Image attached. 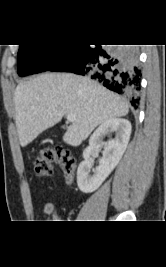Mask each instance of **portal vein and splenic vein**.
<instances>
[{"mask_svg":"<svg viewBox=\"0 0 166 267\" xmlns=\"http://www.w3.org/2000/svg\"><path fill=\"white\" fill-rule=\"evenodd\" d=\"M67 121L74 122L75 121V115H73V114H67Z\"/></svg>","mask_w":166,"mask_h":267,"instance_id":"obj_1","label":"portal vein and splenic vein"}]
</instances>
